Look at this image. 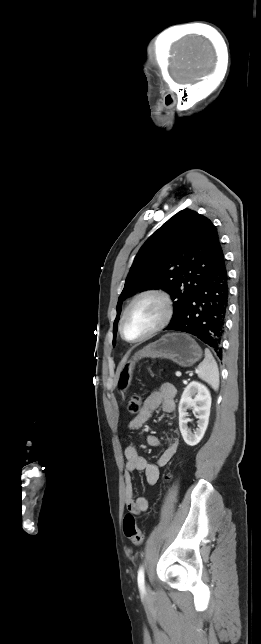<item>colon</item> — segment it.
<instances>
[{
  "mask_svg": "<svg viewBox=\"0 0 261 644\" xmlns=\"http://www.w3.org/2000/svg\"><path fill=\"white\" fill-rule=\"evenodd\" d=\"M142 397L134 395L130 398L128 403V411L133 415H138L142 409ZM168 478V477H166ZM123 532L124 535L135 545H140L143 541V534L139 528L138 522L133 514L128 513L123 519Z\"/></svg>",
  "mask_w": 261,
  "mask_h": 644,
  "instance_id": "obj_1",
  "label": "colon"
}]
</instances>
